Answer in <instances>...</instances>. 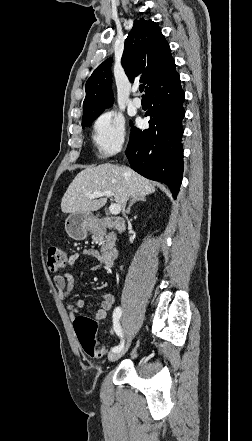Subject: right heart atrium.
Here are the masks:
<instances>
[{
	"label": "right heart atrium",
	"mask_w": 252,
	"mask_h": 441,
	"mask_svg": "<svg viewBox=\"0 0 252 441\" xmlns=\"http://www.w3.org/2000/svg\"><path fill=\"white\" fill-rule=\"evenodd\" d=\"M92 140L99 157L118 153L126 142L125 119L116 112H104L94 122Z\"/></svg>",
	"instance_id": "1"
}]
</instances>
